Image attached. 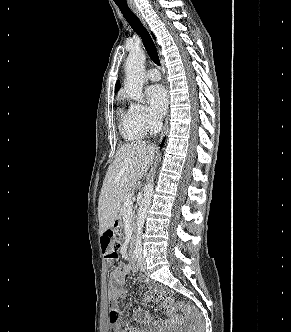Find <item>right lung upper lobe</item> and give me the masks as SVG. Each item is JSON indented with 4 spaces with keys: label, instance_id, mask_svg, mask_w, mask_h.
Here are the masks:
<instances>
[{
    "label": "right lung upper lobe",
    "instance_id": "cb5924a9",
    "mask_svg": "<svg viewBox=\"0 0 291 332\" xmlns=\"http://www.w3.org/2000/svg\"><path fill=\"white\" fill-rule=\"evenodd\" d=\"M153 37H154V35H153ZM155 38V37H154ZM120 87V83L118 82L117 84H116V89H118Z\"/></svg>",
    "mask_w": 291,
    "mask_h": 332
}]
</instances>
